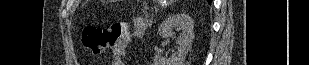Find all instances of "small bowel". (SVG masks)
Segmentation results:
<instances>
[{
	"instance_id": "obj_1",
	"label": "small bowel",
	"mask_w": 309,
	"mask_h": 65,
	"mask_svg": "<svg viewBox=\"0 0 309 65\" xmlns=\"http://www.w3.org/2000/svg\"><path fill=\"white\" fill-rule=\"evenodd\" d=\"M146 29L144 19L137 17L133 22V29L126 31L122 38L113 46L112 65H125V58L127 55L128 46L133 39L141 37Z\"/></svg>"
}]
</instances>
